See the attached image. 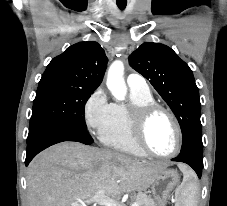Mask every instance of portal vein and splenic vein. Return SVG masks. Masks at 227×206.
I'll list each match as a JSON object with an SVG mask.
<instances>
[{
  "label": "portal vein and splenic vein",
  "mask_w": 227,
  "mask_h": 206,
  "mask_svg": "<svg viewBox=\"0 0 227 206\" xmlns=\"http://www.w3.org/2000/svg\"><path fill=\"white\" fill-rule=\"evenodd\" d=\"M92 202L100 203L104 206H118L116 201H114L108 197H105L103 190L98 191L95 195H93L92 197H90L87 200H80L77 202H72L70 204V206H86V203H92ZM131 206H138V204L133 203V204H131Z\"/></svg>",
  "instance_id": "portal-vein-and-splenic-vein-1"
}]
</instances>
